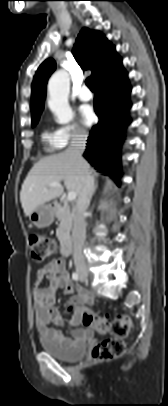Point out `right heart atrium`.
Here are the masks:
<instances>
[{
    "instance_id": "1",
    "label": "right heart atrium",
    "mask_w": 168,
    "mask_h": 406,
    "mask_svg": "<svg viewBox=\"0 0 168 406\" xmlns=\"http://www.w3.org/2000/svg\"><path fill=\"white\" fill-rule=\"evenodd\" d=\"M56 134L63 147L70 143L85 140L88 137L87 131L78 124L60 126L57 129Z\"/></svg>"
}]
</instances>
